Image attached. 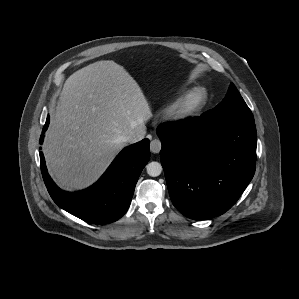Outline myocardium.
Returning <instances> with one entry per match:
<instances>
[{"instance_id": "1", "label": "myocardium", "mask_w": 299, "mask_h": 299, "mask_svg": "<svg viewBox=\"0 0 299 299\" xmlns=\"http://www.w3.org/2000/svg\"><path fill=\"white\" fill-rule=\"evenodd\" d=\"M207 100L204 88L196 87L185 93L171 110V117L175 120H187L198 114Z\"/></svg>"}]
</instances>
